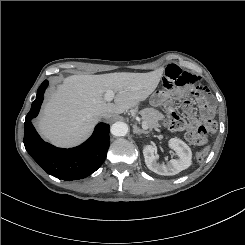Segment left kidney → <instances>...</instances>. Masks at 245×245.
Returning a JSON list of instances; mask_svg holds the SVG:
<instances>
[{"label":"left kidney","instance_id":"left-kidney-1","mask_svg":"<svg viewBox=\"0 0 245 245\" xmlns=\"http://www.w3.org/2000/svg\"><path fill=\"white\" fill-rule=\"evenodd\" d=\"M169 147L176 152L178 160L171 159L167 165L159 164L156 148L153 145H146L143 149L146 166L153 172L159 175H176L179 172L187 169L192 161V152L189 146L180 139L172 138L169 140Z\"/></svg>","mask_w":245,"mask_h":245}]
</instances>
